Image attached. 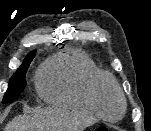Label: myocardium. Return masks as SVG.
Returning <instances> with one entry per match:
<instances>
[{
    "instance_id": "obj_1",
    "label": "myocardium",
    "mask_w": 151,
    "mask_h": 131,
    "mask_svg": "<svg viewBox=\"0 0 151 131\" xmlns=\"http://www.w3.org/2000/svg\"><path fill=\"white\" fill-rule=\"evenodd\" d=\"M110 87L112 88L117 96L120 99L121 102V110L118 116L116 117H110L108 116L102 109L100 105V96L104 88ZM89 97L91 104L97 114L102 118H111V119H117L123 116V114L126 111L127 108V100L125 97V94L123 90L121 89L120 85L116 81V79L106 72H100L97 75L94 76V78L91 81L90 88H89Z\"/></svg>"
}]
</instances>
